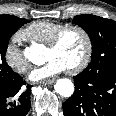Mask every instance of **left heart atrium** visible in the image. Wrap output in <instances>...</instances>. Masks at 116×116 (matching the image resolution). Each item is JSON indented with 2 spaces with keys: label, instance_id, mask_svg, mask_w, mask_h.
<instances>
[{
  "label": "left heart atrium",
  "instance_id": "left-heart-atrium-1",
  "mask_svg": "<svg viewBox=\"0 0 116 116\" xmlns=\"http://www.w3.org/2000/svg\"><path fill=\"white\" fill-rule=\"evenodd\" d=\"M66 69L62 61L57 58H50L42 66L34 68L29 75V79L32 81H40L58 75Z\"/></svg>",
  "mask_w": 116,
  "mask_h": 116
}]
</instances>
